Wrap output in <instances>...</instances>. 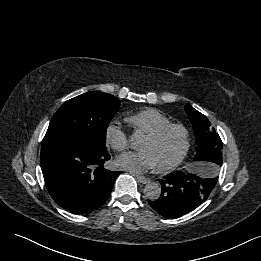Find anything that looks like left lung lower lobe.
<instances>
[{"label": "left lung lower lobe", "instance_id": "1", "mask_svg": "<svg viewBox=\"0 0 261 261\" xmlns=\"http://www.w3.org/2000/svg\"><path fill=\"white\" fill-rule=\"evenodd\" d=\"M197 170L209 178H200L186 171L172 172L159 180L162 185L161 196L155 201H148L149 205L167 218L182 216L200 206L218 181V169L202 165Z\"/></svg>", "mask_w": 261, "mask_h": 261}]
</instances>
